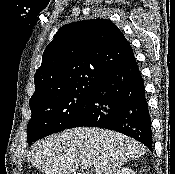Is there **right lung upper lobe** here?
Wrapping results in <instances>:
<instances>
[{
  "label": "right lung upper lobe",
  "mask_w": 175,
  "mask_h": 174,
  "mask_svg": "<svg viewBox=\"0 0 175 174\" xmlns=\"http://www.w3.org/2000/svg\"><path fill=\"white\" fill-rule=\"evenodd\" d=\"M134 57L130 43L107 19L64 25L47 46L34 76L30 105L62 92L95 85L109 70Z\"/></svg>",
  "instance_id": "1"
}]
</instances>
